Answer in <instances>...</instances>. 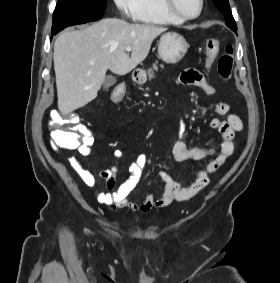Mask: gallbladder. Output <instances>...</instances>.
I'll return each mask as SVG.
<instances>
[{
	"label": "gallbladder",
	"mask_w": 280,
	"mask_h": 283,
	"mask_svg": "<svg viewBox=\"0 0 280 283\" xmlns=\"http://www.w3.org/2000/svg\"><path fill=\"white\" fill-rule=\"evenodd\" d=\"M115 83H116V78L113 75H108L105 77V80L103 82V89L108 90Z\"/></svg>",
	"instance_id": "1"
}]
</instances>
